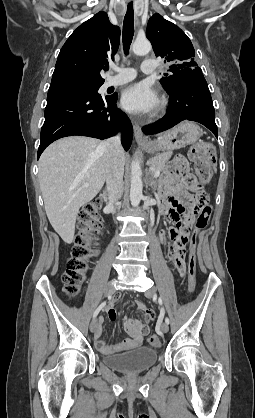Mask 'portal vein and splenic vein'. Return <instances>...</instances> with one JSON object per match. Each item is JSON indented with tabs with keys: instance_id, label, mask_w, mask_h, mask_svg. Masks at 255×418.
Listing matches in <instances>:
<instances>
[{
	"instance_id": "1",
	"label": "portal vein and splenic vein",
	"mask_w": 255,
	"mask_h": 418,
	"mask_svg": "<svg viewBox=\"0 0 255 418\" xmlns=\"http://www.w3.org/2000/svg\"><path fill=\"white\" fill-rule=\"evenodd\" d=\"M151 170H152V168H151ZM159 175H160V171L159 170L154 171V173H153L154 178H157ZM84 186H88V184L86 183Z\"/></svg>"
}]
</instances>
